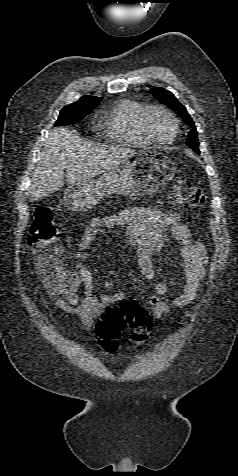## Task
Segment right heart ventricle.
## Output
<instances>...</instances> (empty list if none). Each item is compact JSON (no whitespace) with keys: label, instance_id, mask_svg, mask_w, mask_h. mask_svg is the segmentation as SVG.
Here are the masks:
<instances>
[{"label":"right heart ventricle","instance_id":"obj_1","mask_svg":"<svg viewBox=\"0 0 238 476\" xmlns=\"http://www.w3.org/2000/svg\"><path fill=\"white\" fill-rule=\"evenodd\" d=\"M145 107L143 103L129 98L120 99L113 105L106 126L114 142L137 147L150 144L139 124L140 115Z\"/></svg>","mask_w":238,"mask_h":476}]
</instances>
